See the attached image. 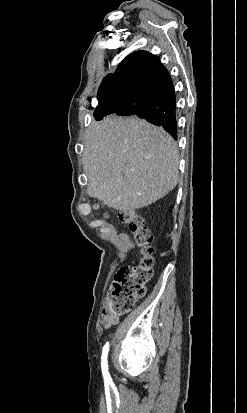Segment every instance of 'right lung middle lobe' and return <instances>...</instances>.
Instances as JSON below:
<instances>
[{"label": "right lung middle lobe", "instance_id": "right-lung-middle-lobe-1", "mask_svg": "<svg viewBox=\"0 0 247 413\" xmlns=\"http://www.w3.org/2000/svg\"><path fill=\"white\" fill-rule=\"evenodd\" d=\"M111 97L135 98L136 90L127 82H102L98 90L99 102Z\"/></svg>", "mask_w": 247, "mask_h": 413}]
</instances>
